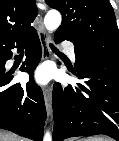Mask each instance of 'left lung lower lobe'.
<instances>
[{
  "mask_svg": "<svg viewBox=\"0 0 119 141\" xmlns=\"http://www.w3.org/2000/svg\"><path fill=\"white\" fill-rule=\"evenodd\" d=\"M63 40L69 39L55 34V43ZM75 55L83 81L65 88L54 84L53 141L98 134L119 141V61Z\"/></svg>",
  "mask_w": 119,
  "mask_h": 141,
  "instance_id": "0a47b994",
  "label": "left lung lower lobe"
}]
</instances>
